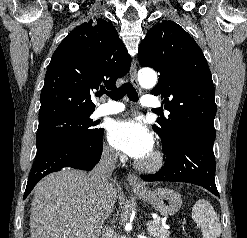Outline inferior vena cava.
<instances>
[{
  "label": "inferior vena cava",
  "mask_w": 247,
  "mask_h": 238,
  "mask_svg": "<svg viewBox=\"0 0 247 238\" xmlns=\"http://www.w3.org/2000/svg\"><path fill=\"white\" fill-rule=\"evenodd\" d=\"M117 158L118 153L116 151H105L99 163L90 173V178L98 191L102 192L109 186V181L111 180L112 172L115 169ZM102 238H105V234H102Z\"/></svg>",
  "instance_id": "602c4592"
}]
</instances>
